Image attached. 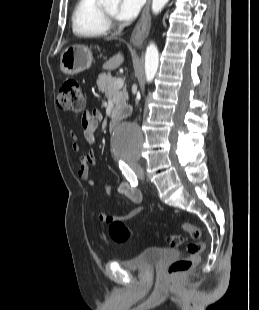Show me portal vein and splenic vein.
I'll return each mask as SVG.
<instances>
[{
	"label": "portal vein and splenic vein",
	"mask_w": 259,
	"mask_h": 310,
	"mask_svg": "<svg viewBox=\"0 0 259 310\" xmlns=\"http://www.w3.org/2000/svg\"><path fill=\"white\" fill-rule=\"evenodd\" d=\"M124 85V80L122 78H117L114 80L113 87L114 89H121Z\"/></svg>",
	"instance_id": "1"
}]
</instances>
